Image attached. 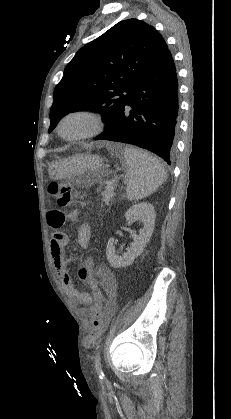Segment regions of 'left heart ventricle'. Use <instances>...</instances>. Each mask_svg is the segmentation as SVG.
<instances>
[{
    "label": "left heart ventricle",
    "mask_w": 231,
    "mask_h": 419,
    "mask_svg": "<svg viewBox=\"0 0 231 419\" xmlns=\"http://www.w3.org/2000/svg\"><path fill=\"white\" fill-rule=\"evenodd\" d=\"M90 127L91 123L87 118L74 116L64 122L62 132L66 136H76L88 131Z\"/></svg>",
    "instance_id": "left-heart-ventricle-1"
}]
</instances>
